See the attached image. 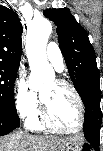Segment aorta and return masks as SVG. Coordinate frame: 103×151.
Listing matches in <instances>:
<instances>
[{"instance_id": "1", "label": "aorta", "mask_w": 103, "mask_h": 151, "mask_svg": "<svg viewBox=\"0 0 103 151\" xmlns=\"http://www.w3.org/2000/svg\"><path fill=\"white\" fill-rule=\"evenodd\" d=\"M51 31V23L45 18L33 20L27 26L26 54L32 76H40L44 71L51 70L46 55Z\"/></svg>"}]
</instances>
